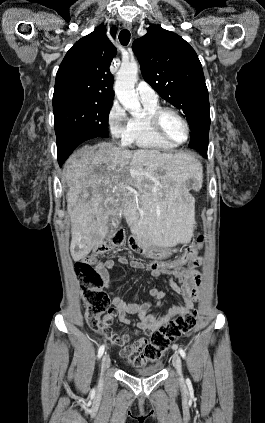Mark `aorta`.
<instances>
[{
  "label": "aorta",
  "instance_id": "762f6f07",
  "mask_svg": "<svg viewBox=\"0 0 265 423\" xmlns=\"http://www.w3.org/2000/svg\"><path fill=\"white\" fill-rule=\"evenodd\" d=\"M137 73L138 65L135 62L122 64L114 85V91L119 102L132 115H138L142 111L138 95L134 89Z\"/></svg>",
  "mask_w": 265,
  "mask_h": 423
}]
</instances>
